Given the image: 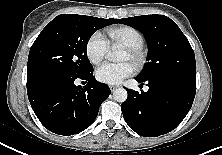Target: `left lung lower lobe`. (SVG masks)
<instances>
[{"instance_id":"0a47b994","label":"left lung lower lobe","mask_w":222,"mask_h":155,"mask_svg":"<svg viewBox=\"0 0 222 155\" xmlns=\"http://www.w3.org/2000/svg\"><path fill=\"white\" fill-rule=\"evenodd\" d=\"M135 80L146 82L149 90L127 89L128 98L121 109L129 127L144 137H157L175 129L192 106L196 82L177 76Z\"/></svg>"}]
</instances>
